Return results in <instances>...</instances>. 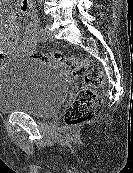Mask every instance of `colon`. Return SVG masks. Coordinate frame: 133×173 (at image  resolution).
I'll list each match as a JSON object with an SVG mask.
<instances>
[{"label":"colon","instance_id":"colon-1","mask_svg":"<svg viewBox=\"0 0 133 173\" xmlns=\"http://www.w3.org/2000/svg\"><path fill=\"white\" fill-rule=\"evenodd\" d=\"M34 59L56 66H66L72 77L79 81L80 90L65 113V123L76 126L90 120L102 107L97 90L104 85L105 76L97 68L90 67L87 59L66 57L59 52L43 53L35 51ZM5 61V54L0 52V63Z\"/></svg>","mask_w":133,"mask_h":173}]
</instances>
